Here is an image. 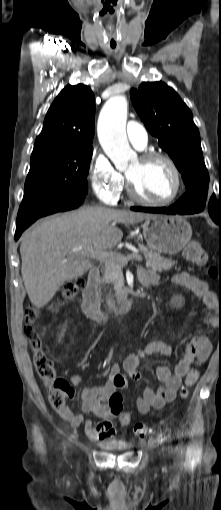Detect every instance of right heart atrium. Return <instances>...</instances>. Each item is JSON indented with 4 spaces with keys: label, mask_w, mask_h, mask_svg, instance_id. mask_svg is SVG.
Here are the masks:
<instances>
[{
    "label": "right heart atrium",
    "mask_w": 221,
    "mask_h": 510,
    "mask_svg": "<svg viewBox=\"0 0 221 510\" xmlns=\"http://www.w3.org/2000/svg\"><path fill=\"white\" fill-rule=\"evenodd\" d=\"M89 179L96 196L105 204H115L123 188L124 177L113 166L108 157L94 151L89 166Z\"/></svg>",
    "instance_id": "obj_1"
}]
</instances>
